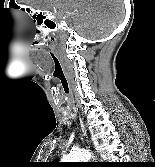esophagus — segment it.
Returning <instances> with one entry per match:
<instances>
[{
	"label": "esophagus",
	"instance_id": "34e87169",
	"mask_svg": "<svg viewBox=\"0 0 155 167\" xmlns=\"http://www.w3.org/2000/svg\"><path fill=\"white\" fill-rule=\"evenodd\" d=\"M79 125H80V129H81L82 135L85 138H87V130H86L85 124H84V122H83V120L81 118L79 119Z\"/></svg>",
	"mask_w": 155,
	"mask_h": 167
}]
</instances>
